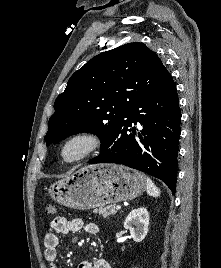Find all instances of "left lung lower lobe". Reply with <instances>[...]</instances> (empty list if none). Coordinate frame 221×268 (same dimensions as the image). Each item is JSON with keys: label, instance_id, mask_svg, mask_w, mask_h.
Listing matches in <instances>:
<instances>
[{"label": "left lung lower lobe", "instance_id": "left-lung-lower-lobe-1", "mask_svg": "<svg viewBox=\"0 0 221 268\" xmlns=\"http://www.w3.org/2000/svg\"><path fill=\"white\" fill-rule=\"evenodd\" d=\"M181 112L173 79L136 103L89 163H116L148 173L176 192ZM141 126L139 133L133 124Z\"/></svg>", "mask_w": 221, "mask_h": 268}]
</instances>
